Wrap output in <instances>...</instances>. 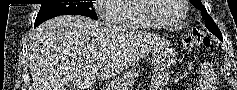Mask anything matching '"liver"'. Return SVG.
<instances>
[{
  "label": "liver",
  "instance_id": "obj_1",
  "mask_svg": "<svg viewBox=\"0 0 237 90\" xmlns=\"http://www.w3.org/2000/svg\"><path fill=\"white\" fill-rule=\"evenodd\" d=\"M143 34L84 16H59L34 30L28 54L33 90H88L128 68ZM67 86V88H64Z\"/></svg>",
  "mask_w": 237,
  "mask_h": 90
}]
</instances>
